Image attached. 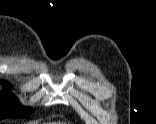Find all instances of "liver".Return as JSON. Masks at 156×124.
Segmentation results:
<instances>
[{
  "label": "liver",
  "instance_id": "liver-1",
  "mask_svg": "<svg viewBox=\"0 0 156 124\" xmlns=\"http://www.w3.org/2000/svg\"><path fill=\"white\" fill-rule=\"evenodd\" d=\"M51 124H64V123H61V122H55V123H51Z\"/></svg>",
  "mask_w": 156,
  "mask_h": 124
}]
</instances>
